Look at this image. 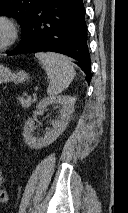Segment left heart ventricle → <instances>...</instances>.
<instances>
[{
    "label": "left heart ventricle",
    "instance_id": "b2bd125f",
    "mask_svg": "<svg viewBox=\"0 0 128 213\" xmlns=\"http://www.w3.org/2000/svg\"><path fill=\"white\" fill-rule=\"evenodd\" d=\"M8 38V29L7 27L0 23V46L7 40Z\"/></svg>",
    "mask_w": 128,
    "mask_h": 213
}]
</instances>
